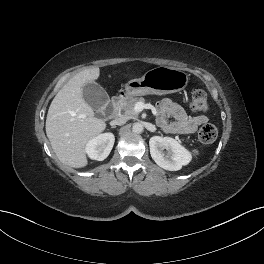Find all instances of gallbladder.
Masks as SVG:
<instances>
[{"label": "gallbladder", "instance_id": "obj_1", "mask_svg": "<svg viewBox=\"0 0 264 264\" xmlns=\"http://www.w3.org/2000/svg\"><path fill=\"white\" fill-rule=\"evenodd\" d=\"M82 96L85 102L97 112L98 117L101 116L99 111L110 101L107 92L96 82H87L82 88Z\"/></svg>", "mask_w": 264, "mask_h": 264}]
</instances>
